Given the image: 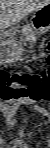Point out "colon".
<instances>
[{"label": "colon", "instance_id": "obj_1", "mask_svg": "<svg viewBox=\"0 0 50 148\" xmlns=\"http://www.w3.org/2000/svg\"><path fill=\"white\" fill-rule=\"evenodd\" d=\"M0 95L4 100L48 101L50 74L0 72Z\"/></svg>", "mask_w": 50, "mask_h": 148}]
</instances>
